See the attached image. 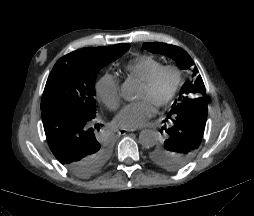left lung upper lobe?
Segmentation results:
<instances>
[{
	"label": "left lung upper lobe",
	"mask_w": 254,
	"mask_h": 216,
	"mask_svg": "<svg viewBox=\"0 0 254 216\" xmlns=\"http://www.w3.org/2000/svg\"><path fill=\"white\" fill-rule=\"evenodd\" d=\"M143 48L166 55L183 69L193 67L194 62L182 48L165 43H144ZM193 69V78L181 88L178 99L163 120L160 132L166 134L164 143L151 148L150 159L161 168L178 170L187 165L196 155L201 143L208 114V96L201 76Z\"/></svg>",
	"instance_id": "left-lung-upper-lobe-1"
}]
</instances>
